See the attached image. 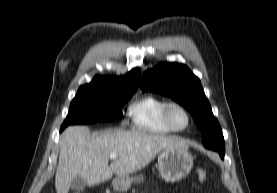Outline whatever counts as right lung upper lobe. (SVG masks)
I'll return each mask as SVG.
<instances>
[{"label":"right lung upper lobe","instance_id":"cb5924a9","mask_svg":"<svg viewBox=\"0 0 277 193\" xmlns=\"http://www.w3.org/2000/svg\"><path fill=\"white\" fill-rule=\"evenodd\" d=\"M140 77L141 72L136 68L123 77L96 76L90 84L79 89L107 93L135 92Z\"/></svg>","mask_w":277,"mask_h":193}]
</instances>
